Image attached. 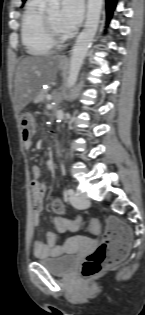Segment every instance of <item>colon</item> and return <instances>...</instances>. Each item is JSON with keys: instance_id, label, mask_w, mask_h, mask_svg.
Returning <instances> with one entry per match:
<instances>
[{"instance_id": "1", "label": "colon", "mask_w": 145, "mask_h": 315, "mask_svg": "<svg viewBox=\"0 0 145 315\" xmlns=\"http://www.w3.org/2000/svg\"><path fill=\"white\" fill-rule=\"evenodd\" d=\"M20 121L24 141L31 140L36 129L33 114L30 112L22 113ZM87 228L92 233H98L100 228L99 222L92 219L88 222ZM131 241L132 233L128 225L116 217H109L102 242L82 264V275L85 278H91L117 265L128 252Z\"/></svg>"}]
</instances>
